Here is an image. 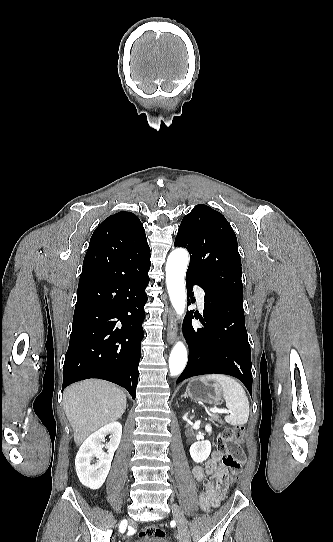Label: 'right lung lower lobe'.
I'll return each instance as SVG.
<instances>
[{"mask_svg": "<svg viewBox=\"0 0 333 542\" xmlns=\"http://www.w3.org/2000/svg\"><path fill=\"white\" fill-rule=\"evenodd\" d=\"M150 256L149 246L87 251L82 270L91 275L79 280L62 391L100 378L136 397Z\"/></svg>", "mask_w": 333, "mask_h": 542, "instance_id": "1", "label": "right lung lower lobe"}]
</instances>
